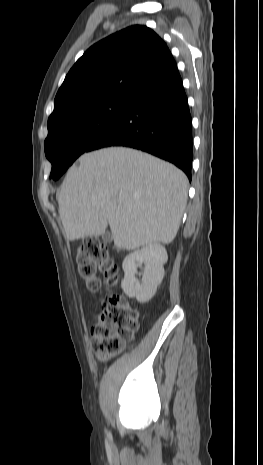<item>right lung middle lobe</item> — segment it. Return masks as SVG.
<instances>
[{"label": "right lung middle lobe", "mask_w": 263, "mask_h": 465, "mask_svg": "<svg viewBox=\"0 0 263 465\" xmlns=\"http://www.w3.org/2000/svg\"><path fill=\"white\" fill-rule=\"evenodd\" d=\"M133 97H109L75 106L48 121L44 143L57 180L68 167L127 112Z\"/></svg>", "instance_id": "obj_1"}]
</instances>
